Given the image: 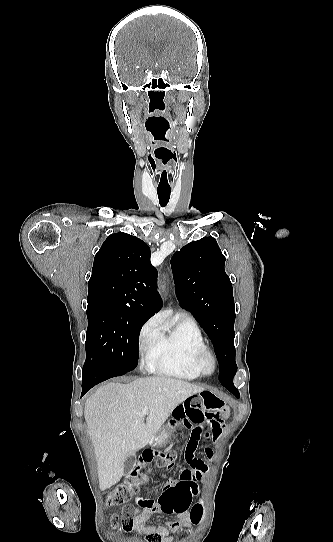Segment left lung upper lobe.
I'll return each mask as SVG.
<instances>
[{"label":"left lung upper lobe","mask_w":333,"mask_h":542,"mask_svg":"<svg viewBox=\"0 0 333 542\" xmlns=\"http://www.w3.org/2000/svg\"><path fill=\"white\" fill-rule=\"evenodd\" d=\"M225 260L212 237L187 244L171 258L178 301L212 340L220 366L219 381L233 380L237 371L233 288Z\"/></svg>","instance_id":"obj_1"}]
</instances>
